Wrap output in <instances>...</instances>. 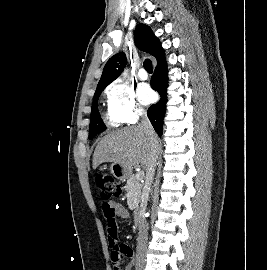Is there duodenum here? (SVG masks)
I'll return each instance as SVG.
<instances>
[{
    "label": "duodenum",
    "mask_w": 267,
    "mask_h": 270,
    "mask_svg": "<svg viewBox=\"0 0 267 270\" xmlns=\"http://www.w3.org/2000/svg\"><path fill=\"white\" fill-rule=\"evenodd\" d=\"M143 211L141 209H137L135 212V223L137 226H140L143 221Z\"/></svg>",
    "instance_id": "1"
}]
</instances>
